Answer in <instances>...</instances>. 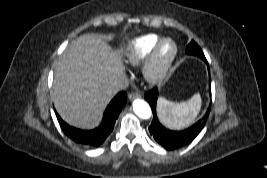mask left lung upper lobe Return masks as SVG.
Wrapping results in <instances>:
<instances>
[{
    "mask_svg": "<svg viewBox=\"0 0 267 178\" xmlns=\"http://www.w3.org/2000/svg\"><path fill=\"white\" fill-rule=\"evenodd\" d=\"M186 52H187V54L198 56L201 59H203L204 61H206V58H205L201 48L194 41H191L189 43V45L186 48Z\"/></svg>",
    "mask_w": 267,
    "mask_h": 178,
    "instance_id": "1",
    "label": "left lung upper lobe"
}]
</instances>
